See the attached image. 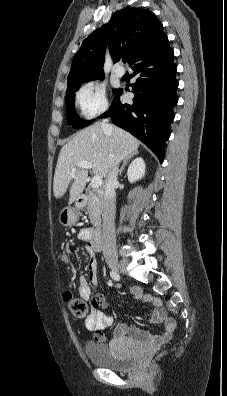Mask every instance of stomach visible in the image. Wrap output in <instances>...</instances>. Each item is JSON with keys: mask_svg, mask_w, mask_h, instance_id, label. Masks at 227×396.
<instances>
[{"mask_svg": "<svg viewBox=\"0 0 227 396\" xmlns=\"http://www.w3.org/2000/svg\"><path fill=\"white\" fill-rule=\"evenodd\" d=\"M82 204L76 201L74 207H66L59 214V223L64 227H70L78 221L79 211Z\"/></svg>", "mask_w": 227, "mask_h": 396, "instance_id": "stomach-1", "label": "stomach"}]
</instances>
